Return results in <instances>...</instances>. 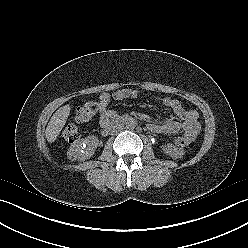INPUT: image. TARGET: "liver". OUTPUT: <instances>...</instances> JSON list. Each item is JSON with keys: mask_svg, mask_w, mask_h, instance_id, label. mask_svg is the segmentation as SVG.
<instances>
[{"mask_svg": "<svg viewBox=\"0 0 248 248\" xmlns=\"http://www.w3.org/2000/svg\"><path fill=\"white\" fill-rule=\"evenodd\" d=\"M70 114V106L64 105L60 107L51 117L47 127H46V138L47 141L52 143L59 136L61 130L63 129L68 116Z\"/></svg>", "mask_w": 248, "mask_h": 248, "instance_id": "1", "label": "liver"}]
</instances>
